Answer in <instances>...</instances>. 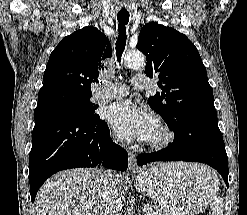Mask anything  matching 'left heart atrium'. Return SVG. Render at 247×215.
Segmentation results:
<instances>
[{"mask_svg": "<svg viewBox=\"0 0 247 215\" xmlns=\"http://www.w3.org/2000/svg\"><path fill=\"white\" fill-rule=\"evenodd\" d=\"M105 117L114 131L126 139L148 141L158 128L157 118L146 108L131 100H123L110 105Z\"/></svg>", "mask_w": 247, "mask_h": 215, "instance_id": "left-heart-atrium-1", "label": "left heart atrium"}]
</instances>
